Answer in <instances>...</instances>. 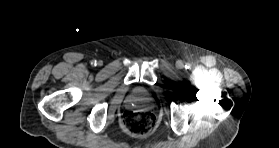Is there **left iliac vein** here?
<instances>
[{
    "label": "left iliac vein",
    "mask_w": 279,
    "mask_h": 148,
    "mask_svg": "<svg viewBox=\"0 0 279 148\" xmlns=\"http://www.w3.org/2000/svg\"><path fill=\"white\" fill-rule=\"evenodd\" d=\"M177 68L181 69L184 67L183 62L182 61H177L176 63Z\"/></svg>",
    "instance_id": "obj_1"
}]
</instances>
